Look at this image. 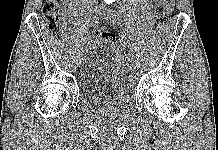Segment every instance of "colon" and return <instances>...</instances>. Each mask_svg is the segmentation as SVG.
<instances>
[{"label": "colon", "mask_w": 218, "mask_h": 150, "mask_svg": "<svg viewBox=\"0 0 218 150\" xmlns=\"http://www.w3.org/2000/svg\"><path fill=\"white\" fill-rule=\"evenodd\" d=\"M61 10V0H46L42 13L43 17L47 23L48 28L51 31H56L59 23V15ZM170 14V10L164 5H157L155 8V18L157 22L164 23L168 20ZM95 36L101 41L110 44L115 40V36L113 33L109 32L105 29H97L95 31Z\"/></svg>", "instance_id": "1"}]
</instances>
